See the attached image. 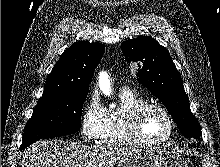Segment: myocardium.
<instances>
[{
	"label": "myocardium",
	"instance_id": "obj_1",
	"mask_svg": "<svg viewBox=\"0 0 220 167\" xmlns=\"http://www.w3.org/2000/svg\"><path fill=\"white\" fill-rule=\"evenodd\" d=\"M150 109H156L160 111L167 119L169 124V133L166 137L159 140L147 139L141 130L142 119L146 112ZM129 130L132 137L139 143L147 146H159L167 143L175 133V122L169 113V111L159 103L145 102L137 106L130 114L129 118Z\"/></svg>",
	"mask_w": 220,
	"mask_h": 167
}]
</instances>
